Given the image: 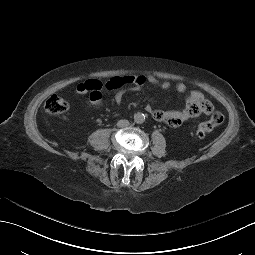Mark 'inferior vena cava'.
Returning <instances> with one entry per match:
<instances>
[{
    "instance_id": "1",
    "label": "inferior vena cava",
    "mask_w": 255,
    "mask_h": 255,
    "mask_svg": "<svg viewBox=\"0 0 255 255\" xmlns=\"http://www.w3.org/2000/svg\"><path fill=\"white\" fill-rule=\"evenodd\" d=\"M129 125V121L126 119H121L117 122L118 127H126Z\"/></svg>"
}]
</instances>
